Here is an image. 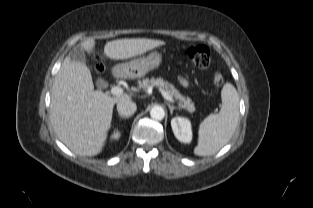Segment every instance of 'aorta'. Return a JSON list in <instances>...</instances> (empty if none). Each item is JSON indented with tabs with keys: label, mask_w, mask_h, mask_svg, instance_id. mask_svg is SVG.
<instances>
[{
	"label": "aorta",
	"mask_w": 313,
	"mask_h": 208,
	"mask_svg": "<svg viewBox=\"0 0 313 208\" xmlns=\"http://www.w3.org/2000/svg\"><path fill=\"white\" fill-rule=\"evenodd\" d=\"M150 116L152 119L162 120L165 116V111H164L163 107H161V106H154L150 110Z\"/></svg>",
	"instance_id": "1"
}]
</instances>
